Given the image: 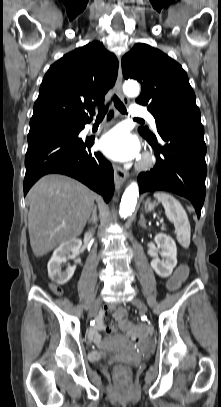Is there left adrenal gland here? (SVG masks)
I'll return each instance as SVG.
<instances>
[{
  "mask_svg": "<svg viewBox=\"0 0 221 407\" xmlns=\"http://www.w3.org/2000/svg\"><path fill=\"white\" fill-rule=\"evenodd\" d=\"M138 224H139L140 226L146 228V220H145L143 214L140 215V220H139Z\"/></svg>",
  "mask_w": 221,
  "mask_h": 407,
  "instance_id": "a2214340",
  "label": "left adrenal gland"
}]
</instances>
